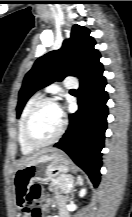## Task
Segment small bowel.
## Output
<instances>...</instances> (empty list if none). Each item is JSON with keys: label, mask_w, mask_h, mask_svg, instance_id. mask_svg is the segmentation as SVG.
<instances>
[{"label": "small bowel", "mask_w": 132, "mask_h": 217, "mask_svg": "<svg viewBox=\"0 0 132 217\" xmlns=\"http://www.w3.org/2000/svg\"><path fill=\"white\" fill-rule=\"evenodd\" d=\"M26 190L17 189L16 191V203L20 208V217H31V208L28 206L26 202ZM66 203V198L62 195H58L55 200H46L43 209L48 210L51 207L58 206L61 207L59 216L57 217H68L67 212L62 208ZM47 217H55V216H47Z\"/></svg>", "instance_id": "small-bowel-1"}]
</instances>
